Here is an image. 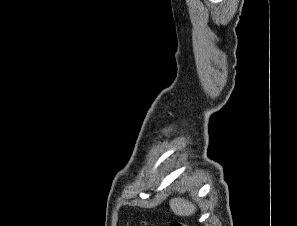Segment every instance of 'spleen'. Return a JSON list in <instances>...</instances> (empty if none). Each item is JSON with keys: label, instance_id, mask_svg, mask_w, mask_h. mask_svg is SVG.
Returning a JSON list of instances; mask_svg holds the SVG:
<instances>
[{"label": "spleen", "instance_id": "1", "mask_svg": "<svg viewBox=\"0 0 297 226\" xmlns=\"http://www.w3.org/2000/svg\"><path fill=\"white\" fill-rule=\"evenodd\" d=\"M169 203L171 210L178 216H190L196 211L191 202L180 197L172 198Z\"/></svg>", "mask_w": 297, "mask_h": 226}]
</instances>
